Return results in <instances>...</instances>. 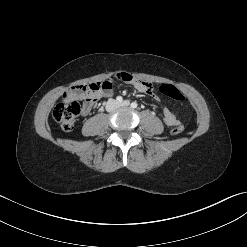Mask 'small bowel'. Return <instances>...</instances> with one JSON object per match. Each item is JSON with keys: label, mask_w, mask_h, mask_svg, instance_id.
<instances>
[{"label": "small bowel", "mask_w": 247, "mask_h": 247, "mask_svg": "<svg viewBox=\"0 0 247 247\" xmlns=\"http://www.w3.org/2000/svg\"><path fill=\"white\" fill-rule=\"evenodd\" d=\"M117 77L120 80H123L127 83L132 84L135 87V89L141 93L151 94L153 91V87L149 82L135 79L128 73H124V72L120 73L117 75ZM111 95H113V88H110L109 90L103 92L100 95V97L101 96L108 97ZM75 96L78 99L83 101L82 114L88 115L90 113V111L92 110L93 102H89L85 98V96L79 91L75 92ZM163 120L167 126H176L178 124V120H177L175 114L168 107H164V109H163Z\"/></svg>", "instance_id": "c3829d8e"}]
</instances>
